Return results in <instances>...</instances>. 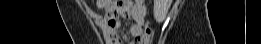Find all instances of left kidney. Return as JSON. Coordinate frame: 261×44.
Masks as SVG:
<instances>
[{
  "label": "left kidney",
  "mask_w": 261,
  "mask_h": 44,
  "mask_svg": "<svg viewBox=\"0 0 261 44\" xmlns=\"http://www.w3.org/2000/svg\"><path fill=\"white\" fill-rule=\"evenodd\" d=\"M170 2L171 0H154L153 14L158 23L165 20Z\"/></svg>",
  "instance_id": "5707ae66"
}]
</instances>
